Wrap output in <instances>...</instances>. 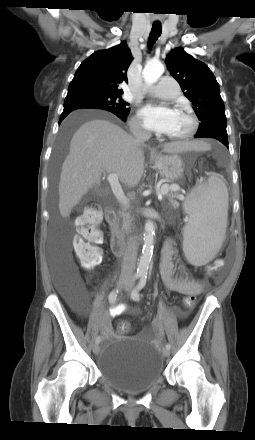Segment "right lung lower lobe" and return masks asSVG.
I'll return each instance as SVG.
<instances>
[{
	"mask_svg": "<svg viewBox=\"0 0 255 440\" xmlns=\"http://www.w3.org/2000/svg\"><path fill=\"white\" fill-rule=\"evenodd\" d=\"M83 108H88V109H102V108H97V107H82V106H68V107H64V110L60 116V120H59V124L62 122V120L72 111L76 110V109H83ZM112 112V111H110ZM114 113L116 116H118L121 120L126 121L127 119V115H121L117 112H112Z\"/></svg>",
	"mask_w": 255,
	"mask_h": 440,
	"instance_id": "right-lung-lower-lobe-1",
	"label": "right lung lower lobe"
}]
</instances>
